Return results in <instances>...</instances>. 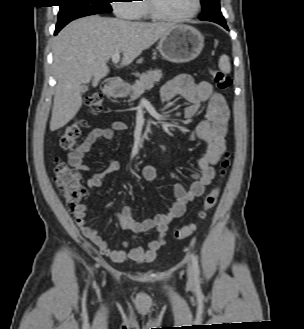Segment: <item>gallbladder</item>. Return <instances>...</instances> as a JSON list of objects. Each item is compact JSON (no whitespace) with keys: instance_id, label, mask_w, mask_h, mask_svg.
<instances>
[{"instance_id":"obj_1","label":"gallbladder","mask_w":304,"mask_h":329,"mask_svg":"<svg viewBox=\"0 0 304 329\" xmlns=\"http://www.w3.org/2000/svg\"><path fill=\"white\" fill-rule=\"evenodd\" d=\"M88 89H89V86H88V84H83V85L81 86V92H82V93H85V92H87V91H88Z\"/></svg>"}]
</instances>
